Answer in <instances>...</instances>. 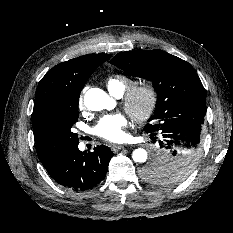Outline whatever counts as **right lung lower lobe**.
I'll return each instance as SVG.
<instances>
[{
	"label": "right lung lower lobe",
	"mask_w": 233,
	"mask_h": 233,
	"mask_svg": "<svg viewBox=\"0 0 233 233\" xmlns=\"http://www.w3.org/2000/svg\"><path fill=\"white\" fill-rule=\"evenodd\" d=\"M78 144L38 157L58 184L75 191H84L104 179L114 153L104 145L95 147L93 152H81Z\"/></svg>",
	"instance_id": "obj_1"
}]
</instances>
